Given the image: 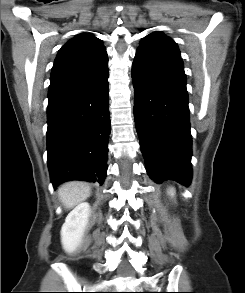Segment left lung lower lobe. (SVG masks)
<instances>
[{
    "mask_svg": "<svg viewBox=\"0 0 245 293\" xmlns=\"http://www.w3.org/2000/svg\"><path fill=\"white\" fill-rule=\"evenodd\" d=\"M134 118L146 170L158 184L191 182L188 93L184 68L137 50L132 65Z\"/></svg>",
    "mask_w": 245,
    "mask_h": 293,
    "instance_id": "0a47b994",
    "label": "left lung lower lobe"
}]
</instances>
